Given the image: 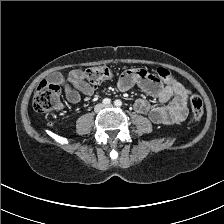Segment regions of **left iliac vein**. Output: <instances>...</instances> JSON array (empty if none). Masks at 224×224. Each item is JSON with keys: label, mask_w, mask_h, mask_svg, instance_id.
Returning a JSON list of instances; mask_svg holds the SVG:
<instances>
[{"label": "left iliac vein", "mask_w": 224, "mask_h": 224, "mask_svg": "<svg viewBox=\"0 0 224 224\" xmlns=\"http://www.w3.org/2000/svg\"><path fill=\"white\" fill-rule=\"evenodd\" d=\"M112 107V105L110 104V105H107V106H105V108H111Z\"/></svg>", "instance_id": "4c4485c4"}]
</instances>
